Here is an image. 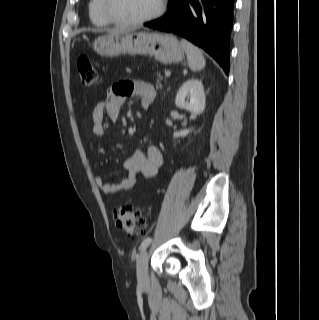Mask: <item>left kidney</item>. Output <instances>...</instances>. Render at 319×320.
Instances as JSON below:
<instances>
[{
	"instance_id": "left-kidney-1",
	"label": "left kidney",
	"mask_w": 319,
	"mask_h": 320,
	"mask_svg": "<svg viewBox=\"0 0 319 320\" xmlns=\"http://www.w3.org/2000/svg\"><path fill=\"white\" fill-rule=\"evenodd\" d=\"M189 100V102H188ZM175 104L179 108H184L196 116L205 109V93L201 80L190 79L183 83L177 92ZM192 129H185L174 132V138L186 137Z\"/></svg>"
}]
</instances>
